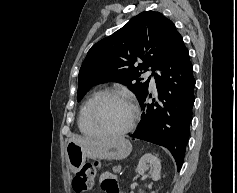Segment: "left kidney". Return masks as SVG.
<instances>
[{
    "label": "left kidney",
    "instance_id": "obj_1",
    "mask_svg": "<svg viewBox=\"0 0 237 193\" xmlns=\"http://www.w3.org/2000/svg\"><path fill=\"white\" fill-rule=\"evenodd\" d=\"M150 169V176L154 181H158L161 178V163L157 156H154L150 153L144 154L138 163L137 172L140 175ZM151 193H155L154 191Z\"/></svg>",
    "mask_w": 237,
    "mask_h": 193
}]
</instances>
